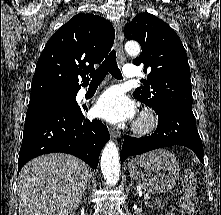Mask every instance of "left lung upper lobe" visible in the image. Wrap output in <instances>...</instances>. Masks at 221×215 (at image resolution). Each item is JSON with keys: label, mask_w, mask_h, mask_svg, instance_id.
Instances as JSON below:
<instances>
[{"label": "left lung upper lobe", "mask_w": 221, "mask_h": 215, "mask_svg": "<svg viewBox=\"0 0 221 215\" xmlns=\"http://www.w3.org/2000/svg\"><path fill=\"white\" fill-rule=\"evenodd\" d=\"M124 34L142 48L133 64H142L144 72L150 71L145 86L134 91V98L157 114L170 109L192 111L188 58L175 31L158 17L140 13L125 25Z\"/></svg>", "instance_id": "1"}]
</instances>
